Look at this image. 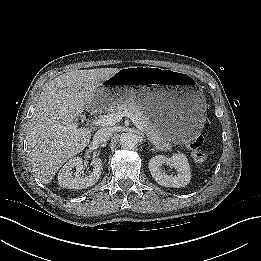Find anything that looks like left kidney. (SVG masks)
Returning a JSON list of instances; mask_svg holds the SVG:
<instances>
[{
  "instance_id": "obj_1",
  "label": "left kidney",
  "mask_w": 261,
  "mask_h": 261,
  "mask_svg": "<svg viewBox=\"0 0 261 261\" xmlns=\"http://www.w3.org/2000/svg\"><path fill=\"white\" fill-rule=\"evenodd\" d=\"M164 164L174 168L177 173L175 175L167 174L162 168ZM148 167L153 179L164 187H184L191 179L188 159L182 153L174 154L171 158L163 155L154 156L150 159Z\"/></svg>"
}]
</instances>
